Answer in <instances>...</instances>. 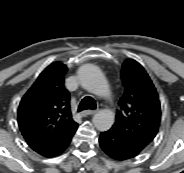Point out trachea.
Wrapping results in <instances>:
<instances>
[{
  "label": "trachea",
  "instance_id": "trachea-1",
  "mask_svg": "<svg viewBox=\"0 0 184 173\" xmlns=\"http://www.w3.org/2000/svg\"><path fill=\"white\" fill-rule=\"evenodd\" d=\"M87 109H92V110L96 109V101L90 96H86L81 100L78 106V112H81Z\"/></svg>",
  "mask_w": 184,
  "mask_h": 173
}]
</instances>
